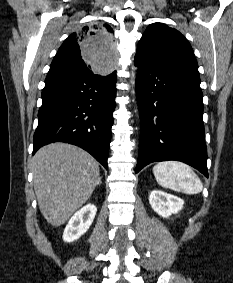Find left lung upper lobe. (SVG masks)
<instances>
[{
	"label": "left lung upper lobe",
	"instance_id": "obj_1",
	"mask_svg": "<svg viewBox=\"0 0 233 283\" xmlns=\"http://www.w3.org/2000/svg\"><path fill=\"white\" fill-rule=\"evenodd\" d=\"M136 56L155 63H185L198 67L187 39L163 23L147 27L137 46Z\"/></svg>",
	"mask_w": 233,
	"mask_h": 283
}]
</instances>
